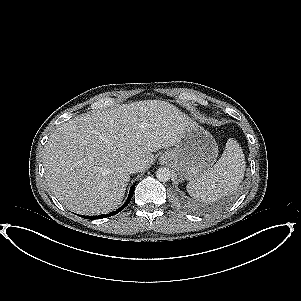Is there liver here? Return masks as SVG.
Returning <instances> with one entry per match:
<instances>
[{
	"mask_svg": "<svg viewBox=\"0 0 301 301\" xmlns=\"http://www.w3.org/2000/svg\"><path fill=\"white\" fill-rule=\"evenodd\" d=\"M189 118L163 102H137L80 115L49 136L43 152L48 186L67 209L108 213L122 202L128 165L143 170L153 152L175 146Z\"/></svg>",
	"mask_w": 301,
	"mask_h": 301,
	"instance_id": "1",
	"label": "liver"
}]
</instances>
